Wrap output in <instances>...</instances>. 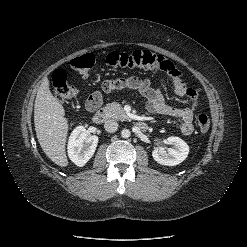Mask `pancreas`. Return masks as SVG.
I'll list each match as a JSON object with an SVG mask.
<instances>
[{
	"mask_svg": "<svg viewBox=\"0 0 247 247\" xmlns=\"http://www.w3.org/2000/svg\"><path fill=\"white\" fill-rule=\"evenodd\" d=\"M103 111L107 118H112L119 121H125L128 119L127 114L125 113L123 107L116 102L108 103Z\"/></svg>",
	"mask_w": 247,
	"mask_h": 247,
	"instance_id": "cf45deb5",
	"label": "pancreas"
}]
</instances>
